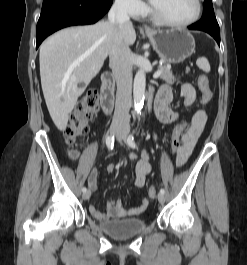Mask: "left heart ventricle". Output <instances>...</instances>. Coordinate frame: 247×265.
Masks as SVG:
<instances>
[{
    "label": "left heart ventricle",
    "mask_w": 247,
    "mask_h": 265,
    "mask_svg": "<svg viewBox=\"0 0 247 265\" xmlns=\"http://www.w3.org/2000/svg\"><path fill=\"white\" fill-rule=\"evenodd\" d=\"M164 17L174 22H184L196 12L195 0H149Z\"/></svg>",
    "instance_id": "1"
}]
</instances>
